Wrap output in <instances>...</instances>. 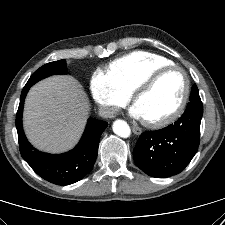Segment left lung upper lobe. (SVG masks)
Returning a JSON list of instances; mask_svg holds the SVG:
<instances>
[{
    "label": "left lung upper lobe",
    "mask_w": 225,
    "mask_h": 225,
    "mask_svg": "<svg viewBox=\"0 0 225 225\" xmlns=\"http://www.w3.org/2000/svg\"><path fill=\"white\" fill-rule=\"evenodd\" d=\"M196 99H200V96H199V92H198L197 86L194 85L192 87V90H191L190 101L191 100H196Z\"/></svg>",
    "instance_id": "1"
}]
</instances>
